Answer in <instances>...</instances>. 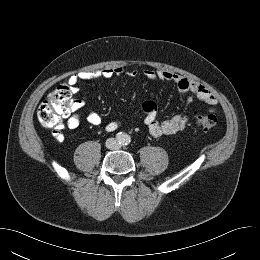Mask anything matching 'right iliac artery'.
<instances>
[{
	"instance_id": "1",
	"label": "right iliac artery",
	"mask_w": 260,
	"mask_h": 260,
	"mask_svg": "<svg viewBox=\"0 0 260 260\" xmlns=\"http://www.w3.org/2000/svg\"><path fill=\"white\" fill-rule=\"evenodd\" d=\"M118 139H120V140H121V139H122V136H121V135H119V136H118Z\"/></svg>"
}]
</instances>
